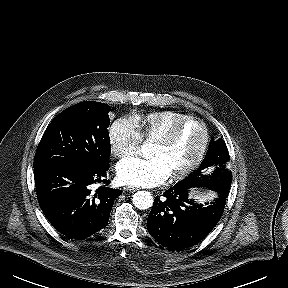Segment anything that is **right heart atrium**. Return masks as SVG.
<instances>
[{
    "label": "right heart atrium",
    "instance_id": "d8ad5b80",
    "mask_svg": "<svg viewBox=\"0 0 288 288\" xmlns=\"http://www.w3.org/2000/svg\"><path fill=\"white\" fill-rule=\"evenodd\" d=\"M108 140L112 154L123 158L138 151L142 135L133 118H121L111 125Z\"/></svg>",
    "mask_w": 288,
    "mask_h": 288
}]
</instances>
